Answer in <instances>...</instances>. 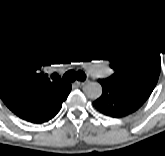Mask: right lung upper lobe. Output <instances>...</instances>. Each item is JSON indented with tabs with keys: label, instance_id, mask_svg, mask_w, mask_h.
<instances>
[{
	"label": "right lung upper lobe",
	"instance_id": "1",
	"mask_svg": "<svg viewBox=\"0 0 165 156\" xmlns=\"http://www.w3.org/2000/svg\"><path fill=\"white\" fill-rule=\"evenodd\" d=\"M49 32H35L0 45V98L17 116L28 120L50 109L70 88L43 68L53 61Z\"/></svg>",
	"mask_w": 165,
	"mask_h": 156
}]
</instances>
